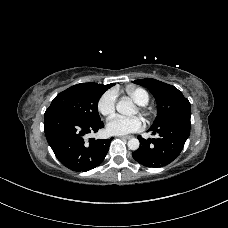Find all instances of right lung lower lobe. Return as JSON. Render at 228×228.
Instances as JSON below:
<instances>
[{
  "label": "right lung lower lobe",
  "mask_w": 228,
  "mask_h": 228,
  "mask_svg": "<svg viewBox=\"0 0 228 228\" xmlns=\"http://www.w3.org/2000/svg\"><path fill=\"white\" fill-rule=\"evenodd\" d=\"M104 124L86 122L61 111L45 112L44 130L47 141L57 159L77 172L91 170L104 160L110 140L89 139L85 135L96 133Z\"/></svg>",
  "instance_id": "right-lung-lower-lobe-1"
}]
</instances>
